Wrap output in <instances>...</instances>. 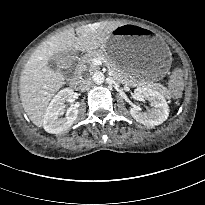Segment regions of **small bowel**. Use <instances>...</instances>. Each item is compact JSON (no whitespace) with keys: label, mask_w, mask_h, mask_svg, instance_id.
I'll use <instances>...</instances> for the list:
<instances>
[{"label":"small bowel","mask_w":205,"mask_h":205,"mask_svg":"<svg viewBox=\"0 0 205 205\" xmlns=\"http://www.w3.org/2000/svg\"><path fill=\"white\" fill-rule=\"evenodd\" d=\"M168 86L173 94L175 95L178 94L181 88V78L177 73L172 75V77L170 78L168 82Z\"/></svg>","instance_id":"obj_1"}]
</instances>
